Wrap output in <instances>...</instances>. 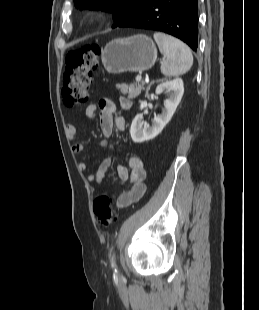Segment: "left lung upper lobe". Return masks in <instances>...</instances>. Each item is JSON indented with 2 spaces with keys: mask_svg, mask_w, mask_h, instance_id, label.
<instances>
[{
  "mask_svg": "<svg viewBox=\"0 0 259 310\" xmlns=\"http://www.w3.org/2000/svg\"><path fill=\"white\" fill-rule=\"evenodd\" d=\"M152 0H74L76 8L111 12L116 27Z\"/></svg>",
  "mask_w": 259,
  "mask_h": 310,
  "instance_id": "obj_1",
  "label": "left lung upper lobe"
}]
</instances>
